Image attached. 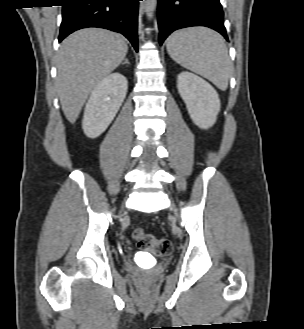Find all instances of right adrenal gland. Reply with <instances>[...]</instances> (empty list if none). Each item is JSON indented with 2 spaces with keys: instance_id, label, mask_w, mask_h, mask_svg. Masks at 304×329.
<instances>
[{
  "instance_id": "2a0ac1e0",
  "label": "right adrenal gland",
  "mask_w": 304,
  "mask_h": 329,
  "mask_svg": "<svg viewBox=\"0 0 304 329\" xmlns=\"http://www.w3.org/2000/svg\"><path fill=\"white\" fill-rule=\"evenodd\" d=\"M124 64H129L128 59H125V61L122 63V65H124Z\"/></svg>"
}]
</instances>
